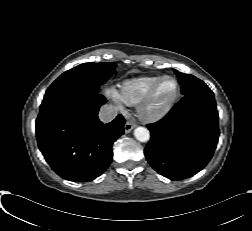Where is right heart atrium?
Masks as SVG:
<instances>
[{"instance_id": "right-heart-atrium-1", "label": "right heart atrium", "mask_w": 252, "mask_h": 231, "mask_svg": "<svg viewBox=\"0 0 252 231\" xmlns=\"http://www.w3.org/2000/svg\"><path fill=\"white\" fill-rule=\"evenodd\" d=\"M111 97H112V99L114 100V101H118L119 99L117 98V95H116V93L115 92H111Z\"/></svg>"}]
</instances>
